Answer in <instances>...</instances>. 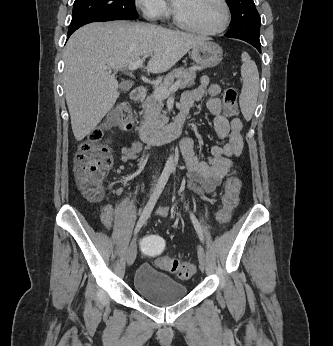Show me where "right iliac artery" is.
I'll use <instances>...</instances> for the list:
<instances>
[{
    "label": "right iliac artery",
    "mask_w": 333,
    "mask_h": 346,
    "mask_svg": "<svg viewBox=\"0 0 333 346\" xmlns=\"http://www.w3.org/2000/svg\"><path fill=\"white\" fill-rule=\"evenodd\" d=\"M171 170L169 168H164V170L162 171V174L158 180V183L156 185V188L154 189L153 194L151 195L149 201L147 202L138 222L137 225L135 227L134 230V234H137L141 227L145 224V222L147 221V219L150 217V214L158 200V198L160 197L165 185L167 184V181L169 179Z\"/></svg>",
    "instance_id": "82829eb1"
}]
</instances>
